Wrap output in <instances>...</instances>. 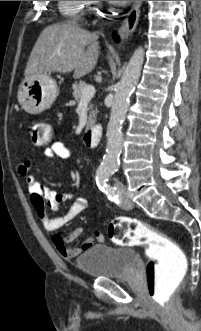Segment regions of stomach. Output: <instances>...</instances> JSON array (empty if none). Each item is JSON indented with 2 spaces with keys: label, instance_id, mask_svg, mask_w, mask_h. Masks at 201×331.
Masks as SVG:
<instances>
[{
  "label": "stomach",
  "instance_id": "obj_1",
  "mask_svg": "<svg viewBox=\"0 0 201 331\" xmlns=\"http://www.w3.org/2000/svg\"><path fill=\"white\" fill-rule=\"evenodd\" d=\"M58 93L57 83L51 77H26L19 86L18 101L27 113L40 114L51 107Z\"/></svg>",
  "mask_w": 201,
  "mask_h": 331
}]
</instances>
